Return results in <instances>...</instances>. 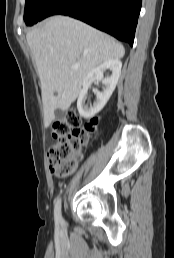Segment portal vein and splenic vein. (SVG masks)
Listing matches in <instances>:
<instances>
[{
  "label": "portal vein and splenic vein",
  "mask_w": 174,
  "mask_h": 258,
  "mask_svg": "<svg viewBox=\"0 0 174 258\" xmlns=\"http://www.w3.org/2000/svg\"><path fill=\"white\" fill-rule=\"evenodd\" d=\"M77 68H78V65L71 66V69H77Z\"/></svg>",
  "instance_id": "1"
}]
</instances>
